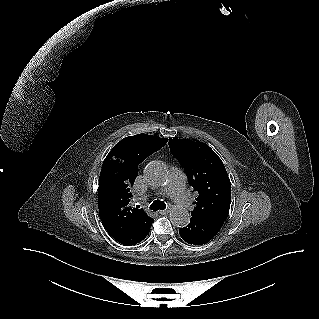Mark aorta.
<instances>
[{"mask_svg":"<svg viewBox=\"0 0 319 319\" xmlns=\"http://www.w3.org/2000/svg\"><path fill=\"white\" fill-rule=\"evenodd\" d=\"M145 177L155 185L164 184L169 176L167 166L161 161H152L145 168ZM170 221L176 227H186L190 221V215L185 208H174L171 210Z\"/></svg>","mask_w":319,"mask_h":319,"instance_id":"aorta-1","label":"aorta"}]
</instances>
